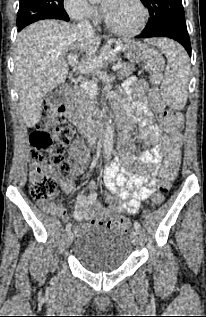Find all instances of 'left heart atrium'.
<instances>
[{"label": "left heart atrium", "mask_w": 206, "mask_h": 317, "mask_svg": "<svg viewBox=\"0 0 206 317\" xmlns=\"http://www.w3.org/2000/svg\"><path fill=\"white\" fill-rule=\"evenodd\" d=\"M102 8H103V10H105V8H106V3H103Z\"/></svg>", "instance_id": "39dd6f15"}]
</instances>
